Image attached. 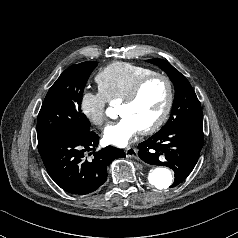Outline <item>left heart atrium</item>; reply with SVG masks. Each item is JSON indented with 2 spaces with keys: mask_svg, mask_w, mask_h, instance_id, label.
Masks as SVG:
<instances>
[{
  "mask_svg": "<svg viewBox=\"0 0 238 238\" xmlns=\"http://www.w3.org/2000/svg\"><path fill=\"white\" fill-rule=\"evenodd\" d=\"M141 131L138 124L129 116L122 118L104 130V140L118 147L127 146Z\"/></svg>",
  "mask_w": 238,
  "mask_h": 238,
  "instance_id": "left-heart-atrium-1",
  "label": "left heart atrium"
}]
</instances>
